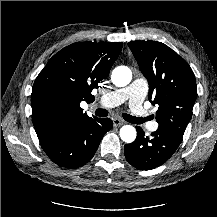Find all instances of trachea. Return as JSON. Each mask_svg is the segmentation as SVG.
I'll use <instances>...</instances> for the list:
<instances>
[{
  "instance_id": "1",
  "label": "trachea",
  "mask_w": 217,
  "mask_h": 217,
  "mask_svg": "<svg viewBox=\"0 0 217 217\" xmlns=\"http://www.w3.org/2000/svg\"><path fill=\"white\" fill-rule=\"evenodd\" d=\"M95 115L96 116H99V117H106L108 115V111L106 109H97L95 111ZM127 119L129 122H132L134 124H142L144 121L143 120H140L136 117H133V116H130V115H126Z\"/></svg>"
}]
</instances>
